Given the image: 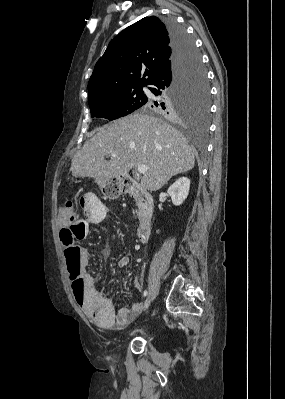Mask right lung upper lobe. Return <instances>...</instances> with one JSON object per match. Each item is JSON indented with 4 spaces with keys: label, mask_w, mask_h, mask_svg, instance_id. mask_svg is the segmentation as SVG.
<instances>
[{
    "label": "right lung upper lobe",
    "mask_w": 285,
    "mask_h": 399,
    "mask_svg": "<svg viewBox=\"0 0 285 399\" xmlns=\"http://www.w3.org/2000/svg\"><path fill=\"white\" fill-rule=\"evenodd\" d=\"M171 56L166 25L155 16L139 20L111 40L96 63L88 83V101L151 84L168 67Z\"/></svg>",
    "instance_id": "1"
}]
</instances>
